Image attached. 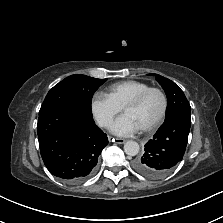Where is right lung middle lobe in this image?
Wrapping results in <instances>:
<instances>
[{"instance_id": "dd1d6c3e", "label": "right lung middle lobe", "mask_w": 223, "mask_h": 223, "mask_svg": "<svg viewBox=\"0 0 223 223\" xmlns=\"http://www.w3.org/2000/svg\"><path fill=\"white\" fill-rule=\"evenodd\" d=\"M107 79L71 75L55 85L46 95L39 114L62 105L72 104L92 114L91 101L95 91Z\"/></svg>"}]
</instances>
